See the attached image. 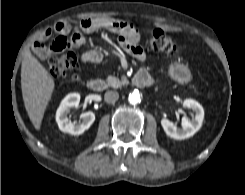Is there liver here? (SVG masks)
<instances>
[{"instance_id":"1","label":"liver","mask_w":245,"mask_h":195,"mask_svg":"<svg viewBox=\"0 0 245 195\" xmlns=\"http://www.w3.org/2000/svg\"><path fill=\"white\" fill-rule=\"evenodd\" d=\"M54 87L49 72L30 51H26L21 65L22 96L27 114L37 130L41 127Z\"/></svg>"}]
</instances>
